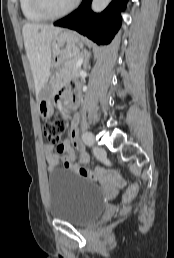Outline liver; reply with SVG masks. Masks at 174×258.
I'll list each match as a JSON object with an SVG mask.
<instances>
[{
	"label": "liver",
	"instance_id": "liver-1",
	"mask_svg": "<svg viewBox=\"0 0 174 258\" xmlns=\"http://www.w3.org/2000/svg\"><path fill=\"white\" fill-rule=\"evenodd\" d=\"M62 31L53 25L26 23L22 28L26 54L31 66L36 97L45 85L51 66V42Z\"/></svg>",
	"mask_w": 174,
	"mask_h": 258
}]
</instances>
